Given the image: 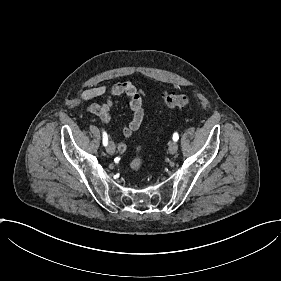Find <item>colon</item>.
<instances>
[{"label":"colon","instance_id":"1","mask_svg":"<svg viewBox=\"0 0 281 281\" xmlns=\"http://www.w3.org/2000/svg\"><path fill=\"white\" fill-rule=\"evenodd\" d=\"M164 104L168 108H180L186 109L189 108L192 104V100L189 95L184 93H170L166 94L163 98ZM142 161L138 160L134 164V168L136 170L141 169Z\"/></svg>","mask_w":281,"mask_h":281}]
</instances>
